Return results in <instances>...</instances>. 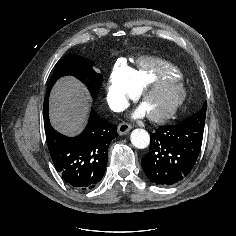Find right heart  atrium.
Returning a JSON list of instances; mask_svg holds the SVG:
<instances>
[{
    "label": "right heart atrium",
    "mask_w": 236,
    "mask_h": 236,
    "mask_svg": "<svg viewBox=\"0 0 236 236\" xmlns=\"http://www.w3.org/2000/svg\"><path fill=\"white\" fill-rule=\"evenodd\" d=\"M130 67L124 62H118L113 67L107 81L106 100L111 108H124L129 99L136 94L130 83Z\"/></svg>",
    "instance_id": "right-heart-atrium-1"
}]
</instances>
